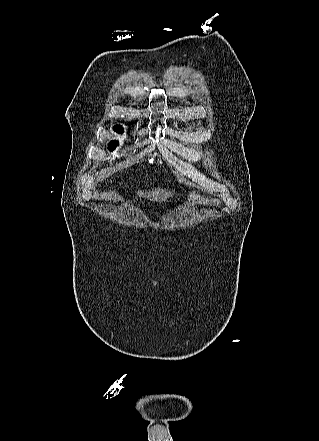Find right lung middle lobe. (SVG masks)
Returning <instances> with one entry per match:
<instances>
[{
    "label": "right lung middle lobe",
    "instance_id": "1",
    "mask_svg": "<svg viewBox=\"0 0 319 441\" xmlns=\"http://www.w3.org/2000/svg\"><path fill=\"white\" fill-rule=\"evenodd\" d=\"M114 130L117 131L118 133H121L122 128L120 125H117L114 127ZM118 145V142L116 141H111L110 144L108 145V149L109 150H114V148Z\"/></svg>",
    "mask_w": 319,
    "mask_h": 441
}]
</instances>
